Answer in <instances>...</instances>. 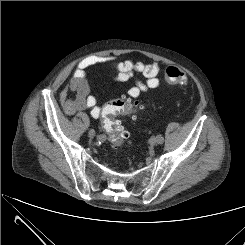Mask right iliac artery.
<instances>
[{"mask_svg": "<svg viewBox=\"0 0 245 245\" xmlns=\"http://www.w3.org/2000/svg\"><path fill=\"white\" fill-rule=\"evenodd\" d=\"M94 131V130H93ZM99 139H102L103 137L102 136H98Z\"/></svg>", "mask_w": 245, "mask_h": 245, "instance_id": "82829eb1", "label": "right iliac artery"}]
</instances>
